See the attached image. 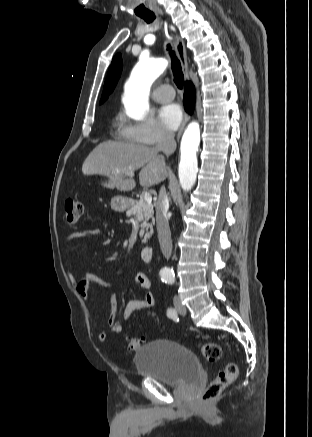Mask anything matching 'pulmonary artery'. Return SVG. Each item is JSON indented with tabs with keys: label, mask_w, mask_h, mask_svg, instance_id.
Returning <instances> with one entry per match:
<instances>
[{
	"label": "pulmonary artery",
	"mask_w": 312,
	"mask_h": 437,
	"mask_svg": "<svg viewBox=\"0 0 312 437\" xmlns=\"http://www.w3.org/2000/svg\"><path fill=\"white\" fill-rule=\"evenodd\" d=\"M174 96V90L167 84L160 85L153 91V99L161 103L172 101Z\"/></svg>",
	"instance_id": "obj_1"
}]
</instances>
